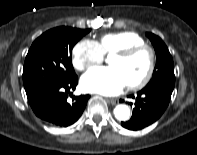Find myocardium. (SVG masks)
<instances>
[{"label": "myocardium", "instance_id": "1", "mask_svg": "<svg viewBox=\"0 0 197 155\" xmlns=\"http://www.w3.org/2000/svg\"><path fill=\"white\" fill-rule=\"evenodd\" d=\"M146 53L149 58V65L145 75L137 82L127 84L129 90H139L144 88L152 79L156 66V56L154 50L146 45H136L115 51L112 56H119L122 58H129L139 53Z\"/></svg>", "mask_w": 197, "mask_h": 155}]
</instances>
